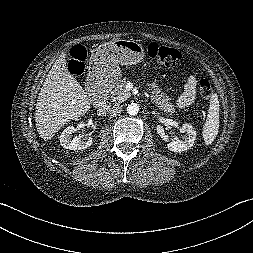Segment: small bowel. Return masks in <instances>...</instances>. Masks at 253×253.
<instances>
[{
	"mask_svg": "<svg viewBox=\"0 0 253 253\" xmlns=\"http://www.w3.org/2000/svg\"><path fill=\"white\" fill-rule=\"evenodd\" d=\"M196 95V79L194 77H190L187 81L183 94L178 99L179 107H187L190 106Z\"/></svg>",
	"mask_w": 253,
	"mask_h": 253,
	"instance_id": "small-bowel-1",
	"label": "small bowel"
}]
</instances>
